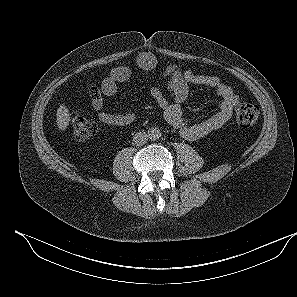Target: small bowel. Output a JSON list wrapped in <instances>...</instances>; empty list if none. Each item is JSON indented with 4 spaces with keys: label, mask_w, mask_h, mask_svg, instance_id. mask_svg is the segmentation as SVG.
Wrapping results in <instances>:
<instances>
[{
    "label": "small bowel",
    "mask_w": 297,
    "mask_h": 297,
    "mask_svg": "<svg viewBox=\"0 0 297 297\" xmlns=\"http://www.w3.org/2000/svg\"><path fill=\"white\" fill-rule=\"evenodd\" d=\"M136 64L143 71H155L159 68L157 57L150 52H142L136 58ZM162 75L166 80L172 102H168L157 87L150 89V94L162 109L165 120L179 131L180 136L187 141L199 140L226 124L232 117L240 99L234 90L216 76L198 74L189 69H181L173 64H166L162 68ZM132 76V69L128 66L114 67L101 82L100 87L90 90L92 106L97 112L101 123L108 126H126L136 120L131 112L109 113L104 111V96H112L117 92L118 84L128 81ZM191 85H202L215 90L221 99L219 110L208 119L197 124H189L184 116L182 105L188 98Z\"/></svg>",
    "instance_id": "c3829d8e"
}]
</instances>
